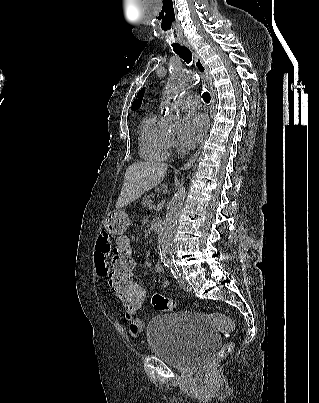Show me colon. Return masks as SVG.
<instances>
[{"instance_id": "1", "label": "colon", "mask_w": 319, "mask_h": 403, "mask_svg": "<svg viewBox=\"0 0 319 403\" xmlns=\"http://www.w3.org/2000/svg\"><path fill=\"white\" fill-rule=\"evenodd\" d=\"M115 246L121 252H113V299L116 304H122L123 313H146L144 291H148V282H135L133 278L134 268L137 267L136 240L133 234H116ZM153 307L160 313L175 312L178 305L174 300L166 298L161 293L153 294L151 298ZM224 334L229 336V332ZM234 349L232 342L225 343L213 358L205 379L208 380L214 373L217 365L228 357Z\"/></svg>"}]
</instances>
